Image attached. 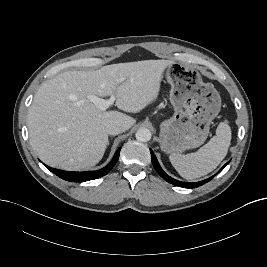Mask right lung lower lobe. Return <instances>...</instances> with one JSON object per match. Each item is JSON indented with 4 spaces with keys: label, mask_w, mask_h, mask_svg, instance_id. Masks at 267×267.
<instances>
[{
    "label": "right lung lower lobe",
    "mask_w": 267,
    "mask_h": 267,
    "mask_svg": "<svg viewBox=\"0 0 267 267\" xmlns=\"http://www.w3.org/2000/svg\"><path fill=\"white\" fill-rule=\"evenodd\" d=\"M120 150L121 148H119L113 159L111 160V162L104 168L97 170V171H88V172H68V171H63V170H59V169H54L51 167L46 166L51 172H53L54 174H56L58 177L66 180V181H70V182H84V181H88V180H93V179H97L100 177L105 176L107 173L110 172V170L114 167V165L116 164L118 158H119V154H120Z\"/></svg>",
    "instance_id": "98d812e1"
}]
</instances>
